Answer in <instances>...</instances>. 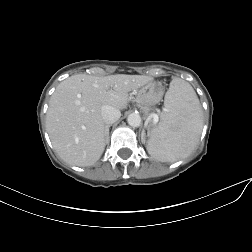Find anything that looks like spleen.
Instances as JSON below:
<instances>
[{"label":"spleen","mask_w":252,"mask_h":252,"mask_svg":"<svg viewBox=\"0 0 252 252\" xmlns=\"http://www.w3.org/2000/svg\"><path fill=\"white\" fill-rule=\"evenodd\" d=\"M164 106L161 123L149 132L147 150L158 161L173 162L195 148L203 128V113L194 89L180 78L171 81Z\"/></svg>","instance_id":"obj_1"}]
</instances>
